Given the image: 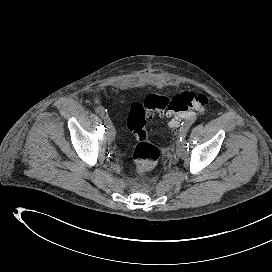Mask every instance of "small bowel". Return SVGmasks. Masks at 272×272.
Returning a JSON list of instances; mask_svg holds the SVG:
<instances>
[{
  "label": "small bowel",
  "mask_w": 272,
  "mask_h": 272,
  "mask_svg": "<svg viewBox=\"0 0 272 272\" xmlns=\"http://www.w3.org/2000/svg\"><path fill=\"white\" fill-rule=\"evenodd\" d=\"M170 125L173 126V123L171 122Z\"/></svg>",
  "instance_id": "small-bowel-1"
}]
</instances>
